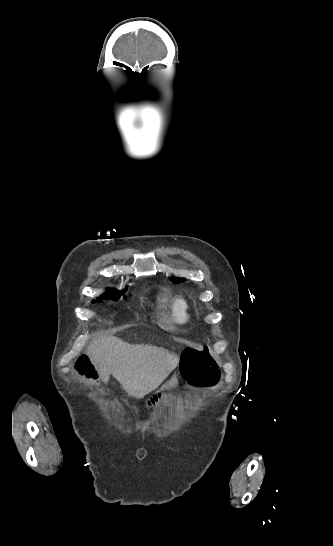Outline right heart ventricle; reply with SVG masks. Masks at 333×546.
<instances>
[{
  "mask_svg": "<svg viewBox=\"0 0 333 546\" xmlns=\"http://www.w3.org/2000/svg\"><path fill=\"white\" fill-rule=\"evenodd\" d=\"M166 321L172 325H185L191 317V308L183 297H172L164 300Z\"/></svg>",
  "mask_w": 333,
  "mask_h": 546,
  "instance_id": "right-heart-ventricle-1",
  "label": "right heart ventricle"
}]
</instances>
